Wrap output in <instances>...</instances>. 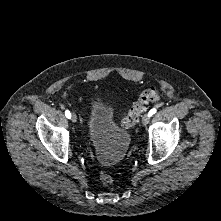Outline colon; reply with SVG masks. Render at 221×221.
I'll return each mask as SVG.
<instances>
[{
  "mask_svg": "<svg viewBox=\"0 0 221 221\" xmlns=\"http://www.w3.org/2000/svg\"><path fill=\"white\" fill-rule=\"evenodd\" d=\"M159 100L160 94L155 88L142 89L137 101L120 119V124L126 128L133 126L145 112L147 104L158 102ZM100 180L105 184L113 183V177L105 171L100 173Z\"/></svg>",
  "mask_w": 221,
  "mask_h": 221,
  "instance_id": "colon-1",
  "label": "colon"
}]
</instances>
